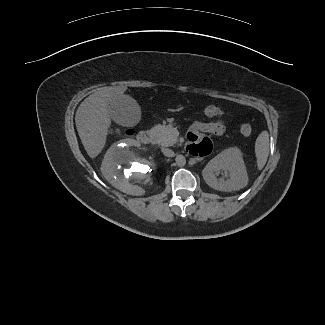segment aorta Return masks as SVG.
<instances>
[{"instance_id": "aorta-1", "label": "aorta", "mask_w": 325, "mask_h": 325, "mask_svg": "<svg viewBox=\"0 0 325 325\" xmlns=\"http://www.w3.org/2000/svg\"><path fill=\"white\" fill-rule=\"evenodd\" d=\"M175 160L179 166H184L186 164V158L183 155H177Z\"/></svg>"}]
</instances>
